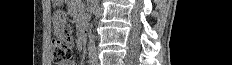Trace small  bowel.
<instances>
[{"label": "small bowel", "instance_id": "1", "mask_svg": "<svg viewBox=\"0 0 232 65\" xmlns=\"http://www.w3.org/2000/svg\"><path fill=\"white\" fill-rule=\"evenodd\" d=\"M54 17L56 21V33L57 37H74V32L70 31V26L68 25V20H66L65 12H54ZM62 65H73L71 62L64 63Z\"/></svg>", "mask_w": 232, "mask_h": 65}]
</instances>
